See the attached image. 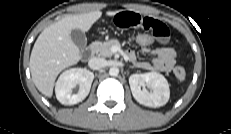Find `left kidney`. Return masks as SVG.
<instances>
[{"label":"left kidney","instance_id":"obj_1","mask_svg":"<svg viewBox=\"0 0 231 134\" xmlns=\"http://www.w3.org/2000/svg\"><path fill=\"white\" fill-rule=\"evenodd\" d=\"M129 84L135 100L144 106L156 108L165 105L169 100L168 81L158 72L132 74ZM146 85L151 89L150 92L145 90Z\"/></svg>","mask_w":231,"mask_h":134}]
</instances>
